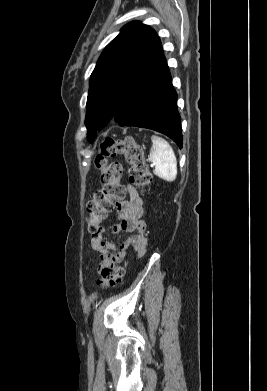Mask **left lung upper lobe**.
Segmentation results:
<instances>
[{
    "label": "left lung upper lobe",
    "mask_w": 267,
    "mask_h": 391,
    "mask_svg": "<svg viewBox=\"0 0 267 391\" xmlns=\"http://www.w3.org/2000/svg\"><path fill=\"white\" fill-rule=\"evenodd\" d=\"M163 56L156 32L131 22L106 46L90 77L86 106L87 138L92 142L116 114L136 83Z\"/></svg>",
    "instance_id": "5c2ea615"
}]
</instances>
